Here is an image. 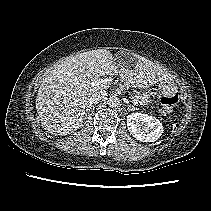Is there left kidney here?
I'll return each mask as SVG.
<instances>
[{"label":"left kidney","instance_id":"5707ae66","mask_svg":"<svg viewBox=\"0 0 211 211\" xmlns=\"http://www.w3.org/2000/svg\"><path fill=\"white\" fill-rule=\"evenodd\" d=\"M126 120L130 134L142 142L156 141L164 131L162 123L148 114L131 113Z\"/></svg>","mask_w":211,"mask_h":211}]
</instances>
